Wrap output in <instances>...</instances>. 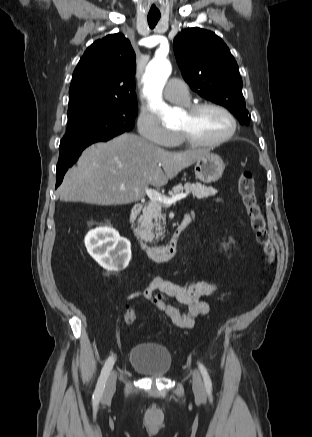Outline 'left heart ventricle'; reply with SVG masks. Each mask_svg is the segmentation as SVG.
<instances>
[{
  "mask_svg": "<svg viewBox=\"0 0 312 437\" xmlns=\"http://www.w3.org/2000/svg\"><path fill=\"white\" fill-rule=\"evenodd\" d=\"M230 128L228 118L214 108L203 109L193 116L185 113L179 118L177 129L186 130L198 140H212L226 134Z\"/></svg>",
  "mask_w": 312,
  "mask_h": 437,
  "instance_id": "left-heart-ventricle-1",
  "label": "left heart ventricle"
}]
</instances>
